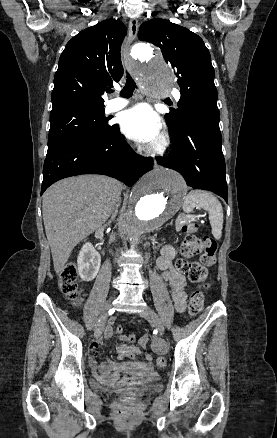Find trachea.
Masks as SVG:
<instances>
[{"label":"trachea","instance_id":"trachea-1","mask_svg":"<svg viewBox=\"0 0 277 438\" xmlns=\"http://www.w3.org/2000/svg\"><path fill=\"white\" fill-rule=\"evenodd\" d=\"M127 77H126V84L124 88L121 91V96L125 98H129L132 96L133 91L135 88H137L136 83L134 82L131 75L126 71ZM109 93H112V90L109 91Z\"/></svg>","mask_w":277,"mask_h":438}]
</instances>
